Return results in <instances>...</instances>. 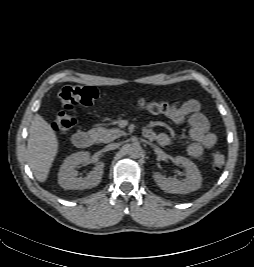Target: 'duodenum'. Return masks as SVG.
<instances>
[{
    "mask_svg": "<svg viewBox=\"0 0 254 267\" xmlns=\"http://www.w3.org/2000/svg\"><path fill=\"white\" fill-rule=\"evenodd\" d=\"M144 136L151 139L152 135L148 131H144ZM73 143L76 147L84 149L94 144V137L87 131H78L73 135Z\"/></svg>",
    "mask_w": 254,
    "mask_h": 267,
    "instance_id": "1",
    "label": "duodenum"
}]
</instances>
